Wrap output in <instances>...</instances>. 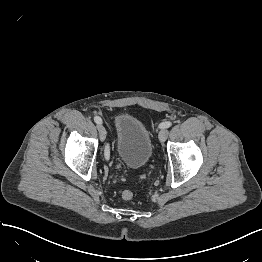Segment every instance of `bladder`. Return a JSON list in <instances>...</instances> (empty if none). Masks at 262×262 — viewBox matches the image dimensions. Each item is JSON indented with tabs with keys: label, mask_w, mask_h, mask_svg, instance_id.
I'll use <instances>...</instances> for the list:
<instances>
[{
	"label": "bladder",
	"mask_w": 262,
	"mask_h": 262,
	"mask_svg": "<svg viewBox=\"0 0 262 262\" xmlns=\"http://www.w3.org/2000/svg\"><path fill=\"white\" fill-rule=\"evenodd\" d=\"M116 154L127 167L140 169L152 156L151 136L145 125L132 115L116 118Z\"/></svg>",
	"instance_id": "31cf9c89"
}]
</instances>
